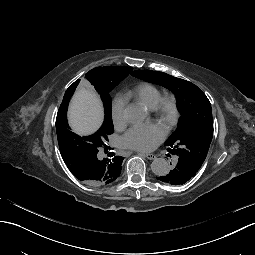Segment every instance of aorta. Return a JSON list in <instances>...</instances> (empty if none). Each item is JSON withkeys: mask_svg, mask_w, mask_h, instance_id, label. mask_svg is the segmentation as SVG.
Wrapping results in <instances>:
<instances>
[{"mask_svg": "<svg viewBox=\"0 0 255 255\" xmlns=\"http://www.w3.org/2000/svg\"><path fill=\"white\" fill-rule=\"evenodd\" d=\"M124 115L130 123H140L146 117L145 111L139 106H128ZM151 170L155 175L162 176L169 172L170 165L164 158H156L151 163Z\"/></svg>", "mask_w": 255, "mask_h": 255, "instance_id": "762f6f07", "label": "aorta"}]
</instances>
